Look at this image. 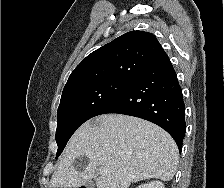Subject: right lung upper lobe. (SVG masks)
<instances>
[{
    "label": "right lung upper lobe",
    "mask_w": 224,
    "mask_h": 188,
    "mask_svg": "<svg viewBox=\"0 0 224 188\" xmlns=\"http://www.w3.org/2000/svg\"><path fill=\"white\" fill-rule=\"evenodd\" d=\"M166 59L155 35L131 31L88 55L71 73L64 89L103 79H133Z\"/></svg>",
    "instance_id": "cb5924a9"
}]
</instances>
